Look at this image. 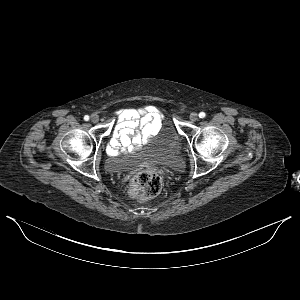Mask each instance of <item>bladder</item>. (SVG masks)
<instances>
[{
  "label": "bladder",
  "mask_w": 300,
  "mask_h": 300,
  "mask_svg": "<svg viewBox=\"0 0 300 300\" xmlns=\"http://www.w3.org/2000/svg\"><path fill=\"white\" fill-rule=\"evenodd\" d=\"M144 154L160 164L177 170L183 163V149L181 142L171 127L155 135L153 139L143 147ZM107 171L118 173L127 167L125 158L111 157L106 161Z\"/></svg>",
  "instance_id": "31cf9c89"
}]
</instances>
